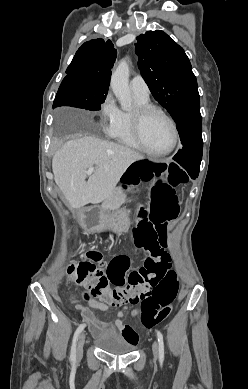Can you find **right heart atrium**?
Masks as SVG:
<instances>
[{
    "instance_id": "d8ad5b80",
    "label": "right heart atrium",
    "mask_w": 248,
    "mask_h": 389,
    "mask_svg": "<svg viewBox=\"0 0 248 389\" xmlns=\"http://www.w3.org/2000/svg\"><path fill=\"white\" fill-rule=\"evenodd\" d=\"M121 110L119 109L112 94L105 95L99 110V116L106 134L112 135L120 118Z\"/></svg>"
}]
</instances>
